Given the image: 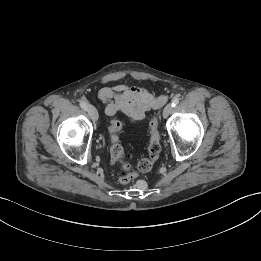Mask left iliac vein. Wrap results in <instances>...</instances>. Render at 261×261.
<instances>
[{
	"mask_svg": "<svg viewBox=\"0 0 261 261\" xmlns=\"http://www.w3.org/2000/svg\"><path fill=\"white\" fill-rule=\"evenodd\" d=\"M172 112V105L169 103L165 106L163 110V117L167 118Z\"/></svg>",
	"mask_w": 261,
	"mask_h": 261,
	"instance_id": "left-iliac-vein-1",
	"label": "left iliac vein"
}]
</instances>
